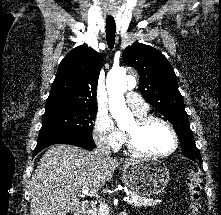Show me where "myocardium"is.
<instances>
[{
  "mask_svg": "<svg viewBox=\"0 0 221 215\" xmlns=\"http://www.w3.org/2000/svg\"><path fill=\"white\" fill-rule=\"evenodd\" d=\"M152 122H160L168 128L173 138L172 148L169 151L164 152V153L146 152L138 146L135 136L130 132H126V142H127L128 149L132 153L141 157H146V158H164V157L172 155L177 150L178 145H179V138L172 124L166 119L159 117V116H155V115H144V116H138L136 118V124L139 130L145 128L147 125H149Z\"/></svg>",
  "mask_w": 221,
  "mask_h": 215,
  "instance_id": "1",
  "label": "myocardium"
}]
</instances>
